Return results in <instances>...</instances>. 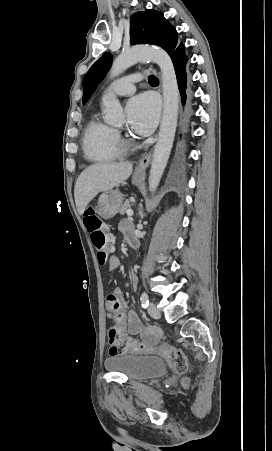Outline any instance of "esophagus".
<instances>
[{"label":"esophagus","mask_w":272,"mask_h":451,"mask_svg":"<svg viewBox=\"0 0 272 451\" xmlns=\"http://www.w3.org/2000/svg\"><path fill=\"white\" fill-rule=\"evenodd\" d=\"M152 159V154L148 153L145 156H143L142 158H140V160L138 161L136 170L138 172H140L141 174L145 173L146 168L148 167V165L150 164Z\"/></svg>","instance_id":"1"}]
</instances>
